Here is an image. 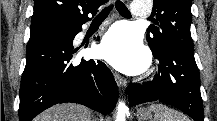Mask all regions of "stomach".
<instances>
[{
	"instance_id": "obj_1",
	"label": "stomach",
	"mask_w": 217,
	"mask_h": 121,
	"mask_svg": "<svg viewBox=\"0 0 217 121\" xmlns=\"http://www.w3.org/2000/svg\"><path fill=\"white\" fill-rule=\"evenodd\" d=\"M137 117L139 121H152L153 119L152 113L146 108H139L137 110Z\"/></svg>"
}]
</instances>
